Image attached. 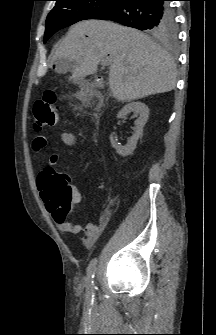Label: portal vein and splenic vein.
I'll return each instance as SVG.
<instances>
[{"mask_svg": "<svg viewBox=\"0 0 216 335\" xmlns=\"http://www.w3.org/2000/svg\"><path fill=\"white\" fill-rule=\"evenodd\" d=\"M103 62L104 63H110V61L108 59H105Z\"/></svg>", "mask_w": 216, "mask_h": 335, "instance_id": "1", "label": "portal vein and splenic vein"}]
</instances>
